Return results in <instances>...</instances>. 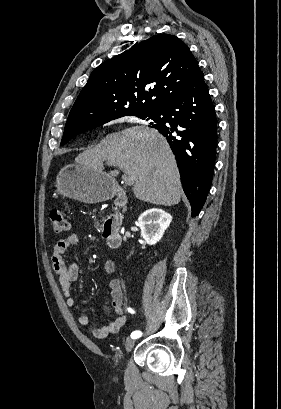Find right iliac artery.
I'll return each mask as SVG.
<instances>
[{"label": "right iliac artery", "instance_id": "82829eb1", "mask_svg": "<svg viewBox=\"0 0 281 409\" xmlns=\"http://www.w3.org/2000/svg\"><path fill=\"white\" fill-rule=\"evenodd\" d=\"M128 311H129L130 313H134V311H133L131 308H128ZM141 335H142V333H141L140 331H134V332H132V334H131V338L136 339V338L141 337Z\"/></svg>", "mask_w": 281, "mask_h": 409}]
</instances>
